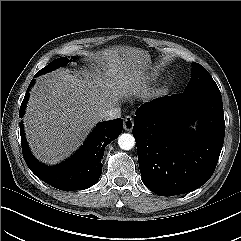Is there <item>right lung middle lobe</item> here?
Instances as JSON below:
<instances>
[{
    "label": "right lung middle lobe",
    "instance_id": "1",
    "mask_svg": "<svg viewBox=\"0 0 241 241\" xmlns=\"http://www.w3.org/2000/svg\"><path fill=\"white\" fill-rule=\"evenodd\" d=\"M71 58L75 59V57H71ZM67 63H69V59L67 57H61V58H58V59L52 61L51 63H49L46 67H44L37 73L39 75H41V74L47 73L49 71H52L58 67L64 66Z\"/></svg>",
    "mask_w": 241,
    "mask_h": 241
}]
</instances>
